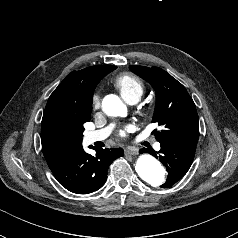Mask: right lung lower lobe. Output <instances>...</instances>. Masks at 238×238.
Here are the masks:
<instances>
[{"label":"right lung lower lobe","mask_w":238,"mask_h":238,"mask_svg":"<svg viewBox=\"0 0 238 238\" xmlns=\"http://www.w3.org/2000/svg\"><path fill=\"white\" fill-rule=\"evenodd\" d=\"M123 155L121 148L96 149L95 156L87 154L82 148L66 163L51 171L57 181L70 192L92 193L104 185L109 165Z\"/></svg>","instance_id":"1"}]
</instances>
